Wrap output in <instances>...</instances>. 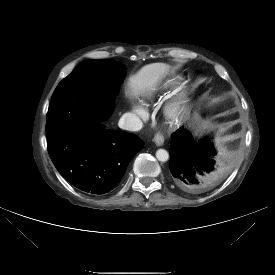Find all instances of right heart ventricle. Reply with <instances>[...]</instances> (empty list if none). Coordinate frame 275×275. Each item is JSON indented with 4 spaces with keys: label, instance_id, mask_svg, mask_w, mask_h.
<instances>
[{
    "label": "right heart ventricle",
    "instance_id": "obj_1",
    "mask_svg": "<svg viewBox=\"0 0 275 275\" xmlns=\"http://www.w3.org/2000/svg\"><path fill=\"white\" fill-rule=\"evenodd\" d=\"M175 81L176 78L174 76H170L162 80L156 87L143 94L140 99L141 105L145 108L152 106L164 92L175 84Z\"/></svg>",
    "mask_w": 275,
    "mask_h": 275
}]
</instances>
